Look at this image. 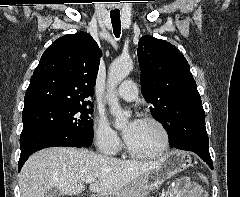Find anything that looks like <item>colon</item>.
<instances>
[{"label":"colon","mask_w":240,"mask_h":197,"mask_svg":"<svg viewBox=\"0 0 240 197\" xmlns=\"http://www.w3.org/2000/svg\"><path fill=\"white\" fill-rule=\"evenodd\" d=\"M198 178H199V180H201L202 182H204V183H207V176L205 175V174H203V173H199L198 174Z\"/></svg>","instance_id":"obj_1"}]
</instances>
